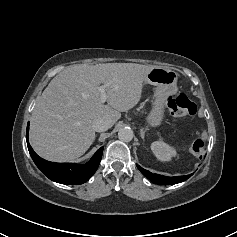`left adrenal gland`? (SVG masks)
<instances>
[{
	"label": "left adrenal gland",
	"mask_w": 237,
	"mask_h": 237,
	"mask_svg": "<svg viewBox=\"0 0 237 237\" xmlns=\"http://www.w3.org/2000/svg\"><path fill=\"white\" fill-rule=\"evenodd\" d=\"M145 132H146V129H141L140 130V134H141V138L144 140V136H145Z\"/></svg>",
	"instance_id": "1"
}]
</instances>
